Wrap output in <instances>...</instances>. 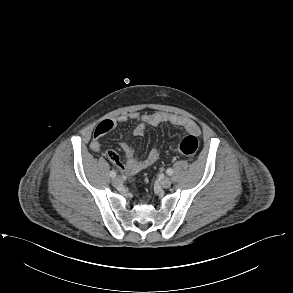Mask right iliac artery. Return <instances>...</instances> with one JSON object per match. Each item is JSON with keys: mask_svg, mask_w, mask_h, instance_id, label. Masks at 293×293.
Masks as SVG:
<instances>
[{"mask_svg": "<svg viewBox=\"0 0 293 293\" xmlns=\"http://www.w3.org/2000/svg\"><path fill=\"white\" fill-rule=\"evenodd\" d=\"M110 177L114 178L116 176V172L114 170L110 171Z\"/></svg>", "mask_w": 293, "mask_h": 293, "instance_id": "82829eb1", "label": "right iliac artery"}]
</instances>
